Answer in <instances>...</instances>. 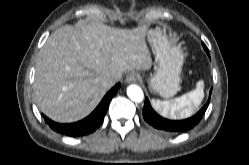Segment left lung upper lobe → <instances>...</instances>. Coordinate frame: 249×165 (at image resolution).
<instances>
[{
	"mask_svg": "<svg viewBox=\"0 0 249 165\" xmlns=\"http://www.w3.org/2000/svg\"><path fill=\"white\" fill-rule=\"evenodd\" d=\"M202 45H203V47H204L205 51L207 52V54L209 55V51H208L207 47L205 46V44H204V43H202ZM209 56H210V55H209Z\"/></svg>",
	"mask_w": 249,
	"mask_h": 165,
	"instance_id": "obj_1",
	"label": "left lung upper lobe"
}]
</instances>
